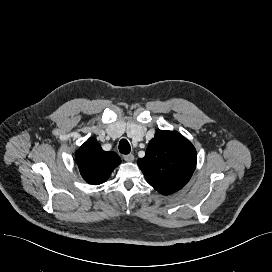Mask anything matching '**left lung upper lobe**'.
I'll list each match as a JSON object with an SVG mask.
<instances>
[{
	"label": "left lung upper lobe",
	"instance_id": "5c2ea615",
	"mask_svg": "<svg viewBox=\"0 0 272 272\" xmlns=\"http://www.w3.org/2000/svg\"><path fill=\"white\" fill-rule=\"evenodd\" d=\"M196 162L197 153L189 140L176 131L158 130L137 164L147 182L159 193L168 195L187 184Z\"/></svg>",
	"mask_w": 272,
	"mask_h": 272
}]
</instances>
